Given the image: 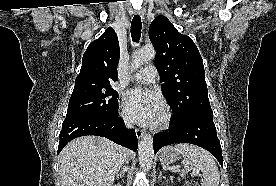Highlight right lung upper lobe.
I'll list each match as a JSON object with an SVG mask.
<instances>
[{"mask_svg":"<svg viewBox=\"0 0 276 186\" xmlns=\"http://www.w3.org/2000/svg\"><path fill=\"white\" fill-rule=\"evenodd\" d=\"M120 49L118 38L109 27L97 40L90 43L83 58L79 75L75 79V87L110 86L118 80L117 65Z\"/></svg>","mask_w":276,"mask_h":186,"instance_id":"cb5924a9","label":"right lung upper lobe"}]
</instances>
